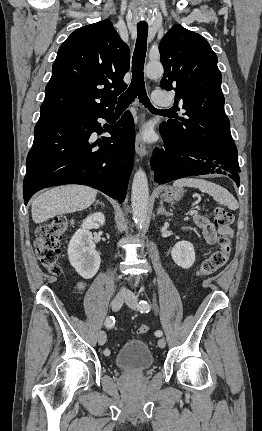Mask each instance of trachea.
Instances as JSON below:
<instances>
[{"mask_svg": "<svg viewBox=\"0 0 262 431\" xmlns=\"http://www.w3.org/2000/svg\"><path fill=\"white\" fill-rule=\"evenodd\" d=\"M148 26H137V40L132 57V81L129 88L119 97L117 110L126 109L138 96L139 101L150 111L171 114L169 110H156L150 103L144 84V63L147 50Z\"/></svg>", "mask_w": 262, "mask_h": 431, "instance_id": "1", "label": "trachea"}]
</instances>
